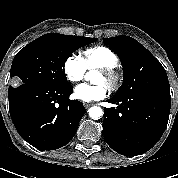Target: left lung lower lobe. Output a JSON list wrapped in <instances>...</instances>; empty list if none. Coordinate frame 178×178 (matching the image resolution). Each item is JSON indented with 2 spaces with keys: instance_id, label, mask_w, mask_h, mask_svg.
<instances>
[{
  "instance_id": "0a47b994",
  "label": "left lung lower lobe",
  "mask_w": 178,
  "mask_h": 178,
  "mask_svg": "<svg viewBox=\"0 0 178 178\" xmlns=\"http://www.w3.org/2000/svg\"><path fill=\"white\" fill-rule=\"evenodd\" d=\"M107 102L118 105L117 109H104L103 133L114 151L137 156L159 141L168 123L171 100L136 93Z\"/></svg>"
}]
</instances>
